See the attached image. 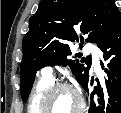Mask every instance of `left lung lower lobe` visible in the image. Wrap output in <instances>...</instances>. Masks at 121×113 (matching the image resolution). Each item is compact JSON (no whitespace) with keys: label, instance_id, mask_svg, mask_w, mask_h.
I'll list each match as a JSON object with an SVG mask.
<instances>
[{"label":"left lung lower lobe","instance_id":"0a47b994","mask_svg":"<svg viewBox=\"0 0 121 113\" xmlns=\"http://www.w3.org/2000/svg\"><path fill=\"white\" fill-rule=\"evenodd\" d=\"M99 48L104 53V60L109 61L107 68L101 66L107 74L106 92L103 94L100 88L91 91V105L89 113H121V17L115 25L110 36L103 41ZM93 78L85 85L89 93Z\"/></svg>","mask_w":121,"mask_h":113}]
</instances>
